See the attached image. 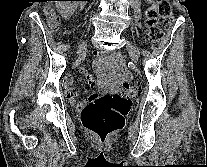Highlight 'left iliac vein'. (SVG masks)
<instances>
[{"label": "left iliac vein", "instance_id": "obj_1", "mask_svg": "<svg viewBox=\"0 0 207 167\" xmlns=\"http://www.w3.org/2000/svg\"><path fill=\"white\" fill-rule=\"evenodd\" d=\"M126 48L129 51L132 60L137 63L139 60V56L136 47L133 45L132 42L127 41Z\"/></svg>", "mask_w": 207, "mask_h": 167}]
</instances>
